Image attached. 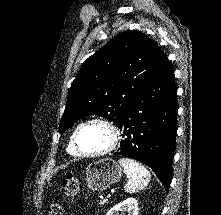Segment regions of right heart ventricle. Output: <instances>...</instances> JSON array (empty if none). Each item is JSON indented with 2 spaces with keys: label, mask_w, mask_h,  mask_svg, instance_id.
Returning <instances> with one entry per match:
<instances>
[{
  "label": "right heart ventricle",
  "mask_w": 221,
  "mask_h": 215,
  "mask_svg": "<svg viewBox=\"0 0 221 215\" xmlns=\"http://www.w3.org/2000/svg\"><path fill=\"white\" fill-rule=\"evenodd\" d=\"M72 137H73V134L71 135L70 140L68 142L67 151L72 156H78V154L76 153V151L74 150V147H73Z\"/></svg>",
  "instance_id": "e07e8e85"
}]
</instances>
